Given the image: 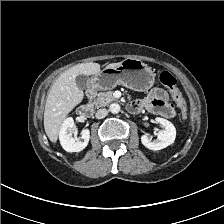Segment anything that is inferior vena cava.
<instances>
[{"label": "inferior vena cava", "instance_id": "obj_1", "mask_svg": "<svg viewBox=\"0 0 224 224\" xmlns=\"http://www.w3.org/2000/svg\"><path fill=\"white\" fill-rule=\"evenodd\" d=\"M107 114H108L107 109L102 108V109L97 110L95 116H96L97 119H102V118H104Z\"/></svg>", "mask_w": 224, "mask_h": 224}]
</instances>
